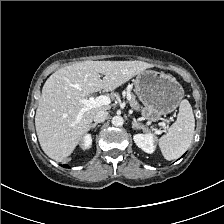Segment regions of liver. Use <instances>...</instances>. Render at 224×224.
<instances>
[{
  "instance_id": "6515ba94",
  "label": "liver",
  "mask_w": 224,
  "mask_h": 224,
  "mask_svg": "<svg viewBox=\"0 0 224 224\" xmlns=\"http://www.w3.org/2000/svg\"><path fill=\"white\" fill-rule=\"evenodd\" d=\"M154 65L143 61H82L54 72L45 82L35 115V126L44 153L61 162L71 155L88 132L95 114L110 105L84 107L79 99L101 90L112 92ZM100 74L104 75L103 79Z\"/></svg>"
}]
</instances>
